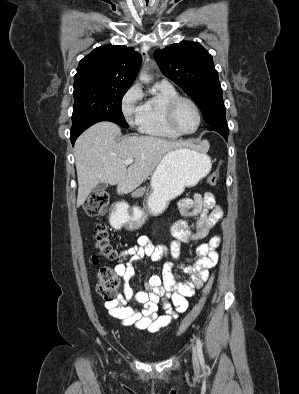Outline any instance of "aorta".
I'll return each mask as SVG.
<instances>
[{"label":"aorta","mask_w":299,"mask_h":394,"mask_svg":"<svg viewBox=\"0 0 299 394\" xmlns=\"http://www.w3.org/2000/svg\"><path fill=\"white\" fill-rule=\"evenodd\" d=\"M139 79L144 83H148L150 81V78L145 71L140 74Z\"/></svg>","instance_id":"aorta-1"}]
</instances>
